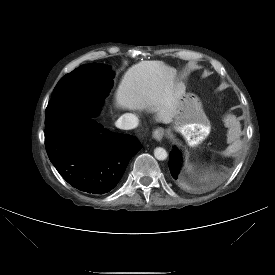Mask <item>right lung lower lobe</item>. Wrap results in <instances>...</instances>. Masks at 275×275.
Returning <instances> with one entry per match:
<instances>
[{"label":"right lung lower lobe","mask_w":275,"mask_h":275,"mask_svg":"<svg viewBox=\"0 0 275 275\" xmlns=\"http://www.w3.org/2000/svg\"><path fill=\"white\" fill-rule=\"evenodd\" d=\"M112 80L102 83L107 94ZM94 116H78L45 128L48 157L73 187L92 194L111 191L142 145L131 135L110 132Z\"/></svg>","instance_id":"right-lung-lower-lobe-1"}]
</instances>
